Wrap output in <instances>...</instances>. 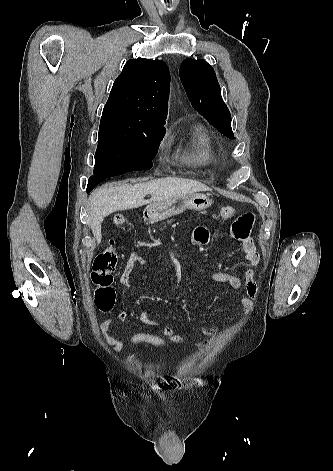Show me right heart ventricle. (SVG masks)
Here are the masks:
<instances>
[{
    "label": "right heart ventricle",
    "instance_id": "right-heart-ventricle-1",
    "mask_svg": "<svg viewBox=\"0 0 333 471\" xmlns=\"http://www.w3.org/2000/svg\"><path fill=\"white\" fill-rule=\"evenodd\" d=\"M181 149L188 162L206 164L214 159L212 139L201 126L194 128L190 136L181 143Z\"/></svg>",
    "mask_w": 333,
    "mask_h": 471
}]
</instances>
